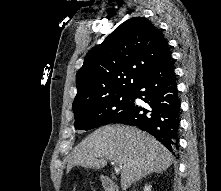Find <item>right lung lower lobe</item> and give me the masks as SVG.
I'll return each mask as SVG.
<instances>
[{
  "label": "right lung lower lobe",
  "instance_id": "98d812e1",
  "mask_svg": "<svg viewBox=\"0 0 221 191\" xmlns=\"http://www.w3.org/2000/svg\"><path fill=\"white\" fill-rule=\"evenodd\" d=\"M136 98L145 104H135ZM179 114L180 100L170 52L134 87L132 105L118 123L147 131L175 154L179 148Z\"/></svg>",
  "mask_w": 221,
  "mask_h": 191
}]
</instances>
